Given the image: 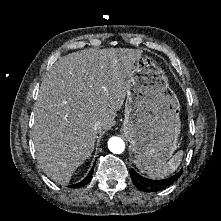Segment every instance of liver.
<instances>
[{
  "label": "liver",
  "mask_w": 221,
  "mask_h": 221,
  "mask_svg": "<svg viewBox=\"0 0 221 221\" xmlns=\"http://www.w3.org/2000/svg\"><path fill=\"white\" fill-rule=\"evenodd\" d=\"M142 50L86 49L60 58L42 79L32 140L43 172L67 184L94 149L97 134L115 124L131 69ZM102 126L93 129L95 122Z\"/></svg>",
  "instance_id": "6515ba94"
}]
</instances>
